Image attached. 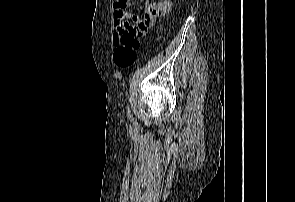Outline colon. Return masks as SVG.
<instances>
[{
	"label": "colon",
	"instance_id": "1",
	"mask_svg": "<svg viewBox=\"0 0 295 202\" xmlns=\"http://www.w3.org/2000/svg\"><path fill=\"white\" fill-rule=\"evenodd\" d=\"M136 34V30L132 27H128V29L120 35L119 46L114 52L113 60L115 65L121 70L131 67L136 61V51L140 46Z\"/></svg>",
	"mask_w": 295,
	"mask_h": 202
}]
</instances>
